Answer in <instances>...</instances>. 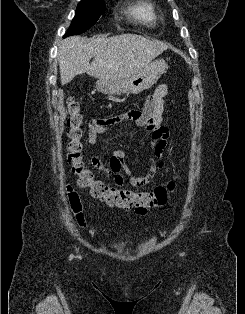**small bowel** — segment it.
I'll list each match as a JSON object with an SVG mask.
<instances>
[{"label": "small bowel", "instance_id": "1", "mask_svg": "<svg viewBox=\"0 0 245 314\" xmlns=\"http://www.w3.org/2000/svg\"><path fill=\"white\" fill-rule=\"evenodd\" d=\"M168 93L166 84L158 85L154 92L146 100L142 110L127 113L121 117L111 119H92L89 123L88 143L96 145L98 136L107 133L110 128L124 121H132L138 127L143 128L149 134L150 158L149 166L145 173L132 175L127 167L128 154L122 150L112 153L108 165H104L97 157L92 158L93 166L107 175L119 187L130 185L140 188L148 185L161 174L166 167V161L162 159L155 165L154 157L162 158L167 150L170 136L169 128L163 125L164 99ZM100 121V124H99ZM138 214H145L137 212Z\"/></svg>", "mask_w": 245, "mask_h": 314}]
</instances>
